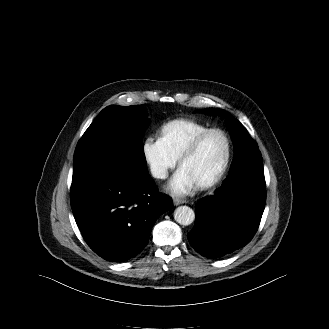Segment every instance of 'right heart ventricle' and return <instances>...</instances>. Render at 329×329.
I'll return each instance as SVG.
<instances>
[{"instance_id": "right-heart-ventricle-1", "label": "right heart ventricle", "mask_w": 329, "mask_h": 329, "mask_svg": "<svg viewBox=\"0 0 329 329\" xmlns=\"http://www.w3.org/2000/svg\"><path fill=\"white\" fill-rule=\"evenodd\" d=\"M208 127L189 119H176L167 122L160 129V139L178 159L188 144Z\"/></svg>"}]
</instances>
